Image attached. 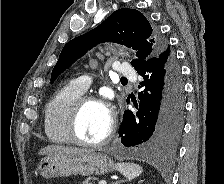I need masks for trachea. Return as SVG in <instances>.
<instances>
[{
	"label": "trachea",
	"mask_w": 224,
	"mask_h": 184,
	"mask_svg": "<svg viewBox=\"0 0 224 184\" xmlns=\"http://www.w3.org/2000/svg\"><path fill=\"white\" fill-rule=\"evenodd\" d=\"M122 80H123V81H127V79H126V78H122Z\"/></svg>",
	"instance_id": "trachea-1"
}]
</instances>
